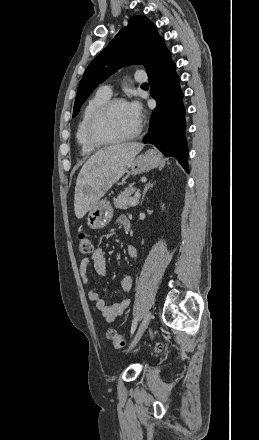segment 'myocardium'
<instances>
[{"instance_id":"obj_1","label":"myocardium","mask_w":259,"mask_h":440,"mask_svg":"<svg viewBox=\"0 0 259 440\" xmlns=\"http://www.w3.org/2000/svg\"><path fill=\"white\" fill-rule=\"evenodd\" d=\"M127 104L123 98H111L101 104L91 115L86 125V137L88 141L96 146H107L124 143L136 138L141 132V125L138 124L136 129L129 135L112 138L107 137L101 132V127L109 114V112L118 104Z\"/></svg>"}]
</instances>
